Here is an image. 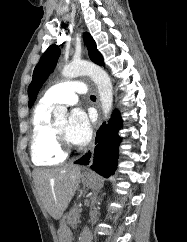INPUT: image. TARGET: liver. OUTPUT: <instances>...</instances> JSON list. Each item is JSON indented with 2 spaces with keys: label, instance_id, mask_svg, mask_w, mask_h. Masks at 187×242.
Segmentation results:
<instances>
[{
  "label": "liver",
  "instance_id": "1",
  "mask_svg": "<svg viewBox=\"0 0 187 242\" xmlns=\"http://www.w3.org/2000/svg\"><path fill=\"white\" fill-rule=\"evenodd\" d=\"M33 178L45 209L53 219H60L78 189L81 168L69 164L54 169H36Z\"/></svg>",
  "mask_w": 187,
  "mask_h": 242
}]
</instances>
